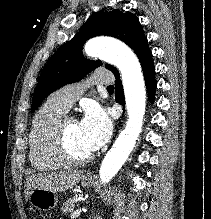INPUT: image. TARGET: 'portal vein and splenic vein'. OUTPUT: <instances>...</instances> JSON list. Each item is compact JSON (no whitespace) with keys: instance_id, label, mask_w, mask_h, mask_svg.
I'll list each match as a JSON object with an SVG mask.
<instances>
[{"instance_id":"1","label":"portal vein and splenic vein","mask_w":211,"mask_h":219,"mask_svg":"<svg viewBox=\"0 0 211 219\" xmlns=\"http://www.w3.org/2000/svg\"><path fill=\"white\" fill-rule=\"evenodd\" d=\"M81 214V209L75 210L73 213H71L70 217L71 219L77 218Z\"/></svg>"}]
</instances>
